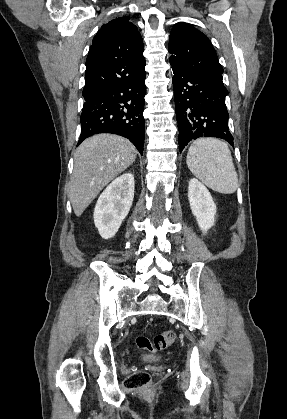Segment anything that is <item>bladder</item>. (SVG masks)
I'll return each mask as SVG.
<instances>
[{
  "label": "bladder",
  "mask_w": 287,
  "mask_h": 419,
  "mask_svg": "<svg viewBox=\"0 0 287 419\" xmlns=\"http://www.w3.org/2000/svg\"><path fill=\"white\" fill-rule=\"evenodd\" d=\"M160 358L159 357H149L147 358L148 361H158Z\"/></svg>",
  "instance_id": "bladder-1"
}]
</instances>
